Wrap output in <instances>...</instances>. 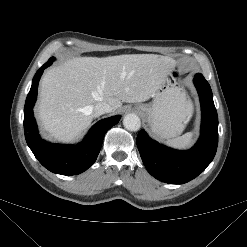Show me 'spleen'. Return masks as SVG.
Returning a JSON list of instances; mask_svg holds the SVG:
<instances>
[{
  "mask_svg": "<svg viewBox=\"0 0 247 247\" xmlns=\"http://www.w3.org/2000/svg\"><path fill=\"white\" fill-rule=\"evenodd\" d=\"M194 134V132H187L180 137L168 140L166 143L174 148L185 149L192 144Z\"/></svg>",
  "mask_w": 247,
  "mask_h": 247,
  "instance_id": "1",
  "label": "spleen"
}]
</instances>
